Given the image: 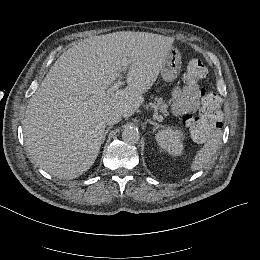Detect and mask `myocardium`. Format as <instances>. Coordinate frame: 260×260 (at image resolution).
I'll list each match as a JSON object with an SVG mask.
<instances>
[{"label": "myocardium", "instance_id": "f54148a6", "mask_svg": "<svg viewBox=\"0 0 260 260\" xmlns=\"http://www.w3.org/2000/svg\"><path fill=\"white\" fill-rule=\"evenodd\" d=\"M94 53V54H100V55H116L114 51H108V50H97L94 52H88V54ZM151 77L148 78V82H150ZM101 95V90L100 88L97 89V94L96 97Z\"/></svg>", "mask_w": 260, "mask_h": 260}]
</instances>
